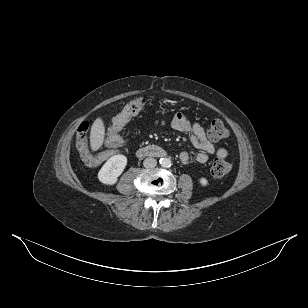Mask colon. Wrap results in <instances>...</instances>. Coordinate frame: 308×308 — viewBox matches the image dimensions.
<instances>
[{"label":"colon","mask_w":308,"mask_h":308,"mask_svg":"<svg viewBox=\"0 0 308 308\" xmlns=\"http://www.w3.org/2000/svg\"><path fill=\"white\" fill-rule=\"evenodd\" d=\"M146 100L144 98H137L130 101L122 111L113 119L111 125L105 129V135L103 141L110 143L113 148L122 154L125 151L126 144L123 142L124 137L121 134H117L118 131L133 117L138 115L146 107ZM89 124L82 122L76 133V148L82 159V161L89 165L95 166L106 161L108 158H112L115 151L112 148H108L105 152L95 153L91 151L88 143ZM229 135L228 128L219 120H214L209 128L208 136L213 141H220L227 138ZM232 169V163L225 158H216L211 166V173L215 177H223L227 175Z\"/></svg>","instance_id":"colon-1"}]
</instances>
